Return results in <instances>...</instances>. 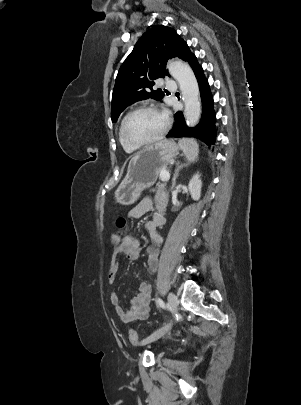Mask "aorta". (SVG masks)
<instances>
[{"label": "aorta", "instance_id": "762f6f07", "mask_svg": "<svg viewBox=\"0 0 301 405\" xmlns=\"http://www.w3.org/2000/svg\"><path fill=\"white\" fill-rule=\"evenodd\" d=\"M168 69L171 76L179 83L185 104L184 116L186 123L188 126L194 127L201 115L199 86L194 72L187 63L181 60L170 62Z\"/></svg>", "mask_w": 301, "mask_h": 405}]
</instances>
